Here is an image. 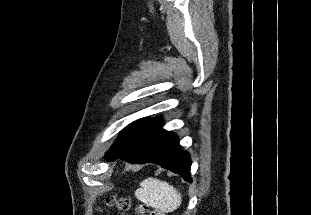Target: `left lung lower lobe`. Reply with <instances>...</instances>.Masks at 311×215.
<instances>
[{
    "label": "left lung lower lobe",
    "instance_id": "1",
    "mask_svg": "<svg viewBox=\"0 0 311 215\" xmlns=\"http://www.w3.org/2000/svg\"><path fill=\"white\" fill-rule=\"evenodd\" d=\"M162 123L160 117L150 120L134 141L111 160L121 158L132 164L155 163L192 182L189 154L180 149L175 133L161 128Z\"/></svg>",
    "mask_w": 311,
    "mask_h": 215
}]
</instances>
